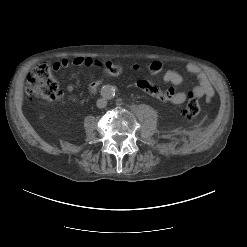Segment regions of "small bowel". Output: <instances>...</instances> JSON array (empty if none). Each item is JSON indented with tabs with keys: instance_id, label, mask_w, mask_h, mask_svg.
I'll use <instances>...</instances> for the list:
<instances>
[{
	"instance_id": "small-bowel-1",
	"label": "small bowel",
	"mask_w": 247,
	"mask_h": 247,
	"mask_svg": "<svg viewBox=\"0 0 247 247\" xmlns=\"http://www.w3.org/2000/svg\"><path fill=\"white\" fill-rule=\"evenodd\" d=\"M69 65H73L75 67H91L93 65V61L91 58L88 57H75L72 61L67 59H62L59 62H55L52 65V69L54 71H58L62 68H67ZM135 68H138L139 65H134ZM148 69L151 73L157 74L163 70V65L158 61H153L148 65ZM186 70L191 75L195 76L198 80V84L195 87V91L202 97L204 96L206 101L209 102L214 96V89L211 85L208 75L202 71L197 65L195 64H188L186 66ZM163 80L166 83L172 84L174 86L181 85L184 81L182 74H180L176 70H166L163 73ZM98 80L92 81L90 83V90L92 92L96 91L98 85ZM137 86L145 91L146 93L150 94L151 96L163 101L169 102L172 104H182L186 100V94L181 91H177L175 88L170 87L167 90H162L159 87L153 85L152 83L146 80H139L137 81ZM73 85L67 86V91H73Z\"/></svg>"
}]
</instances>
